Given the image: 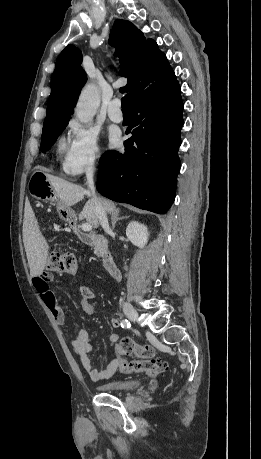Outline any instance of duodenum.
Instances as JSON below:
<instances>
[{
	"instance_id": "duodenum-1",
	"label": "duodenum",
	"mask_w": 261,
	"mask_h": 459,
	"mask_svg": "<svg viewBox=\"0 0 261 459\" xmlns=\"http://www.w3.org/2000/svg\"><path fill=\"white\" fill-rule=\"evenodd\" d=\"M72 231L74 235L79 239L82 243L87 245L96 244L102 252V263L105 270L113 277L118 278L120 275L119 269L115 263V260L108 250L107 241L104 237L100 235H91L86 234L80 231L75 225L72 226Z\"/></svg>"
}]
</instances>
